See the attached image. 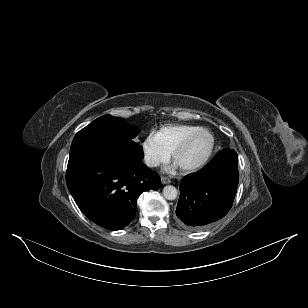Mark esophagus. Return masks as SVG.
<instances>
[{"instance_id": "obj_1", "label": "esophagus", "mask_w": 308, "mask_h": 308, "mask_svg": "<svg viewBox=\"0 0 308 308\" xmlns=\"http://www.w3.org/2000/svg\"><path fill=\"white\" fill-rule=\"evenodd\" d=\"M161 183L162 184H169V183H171V180L168 177H161Z\"/></svg>"}]
</instances>
